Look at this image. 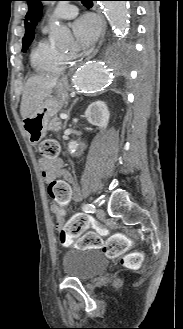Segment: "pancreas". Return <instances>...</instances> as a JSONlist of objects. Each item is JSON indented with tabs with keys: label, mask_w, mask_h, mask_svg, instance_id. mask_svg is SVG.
I'll return each instance as SVG.
<instances>
[{
	"label": "pancreas",
	"mask_w": 183,
	"mask_h": 329,
	"mask_svg": "<svg viewBox=\"0 0 183 329\" xmlns=\"http://www.w3.org/2000/svg\"><path fill=\"white\" fill-rule=\"evenodd\" d=\"M48 130L54 132H60L62 130V122L58 118H53L48 124Z\"/></svg>",
	"instance_id": "cf45deb5"
}]
</instances>
